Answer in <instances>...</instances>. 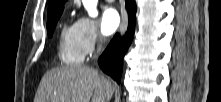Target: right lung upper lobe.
Here are the masks:
<instances>
[{"mask_svg": "<svg viewBox=\"0 0 221 102\" xmlns=\"http://www.w3.org/2000/svg\"><path fill=\"white\" fill-rule=\"evenodd\" d=\"M66 0H49L48 2V18L54 13L63 9V4Z\"/></svg>", "mask_w": 221, "mask_h": 102, "instance_id": "right-lung-upper-lobe-1", "label": "right lung upper lobe"}]
</instances>
